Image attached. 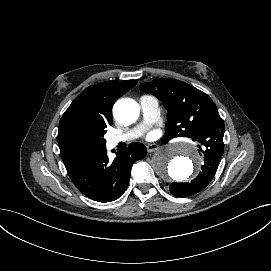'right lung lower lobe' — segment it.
I'll list each match as a JSON object with an SVG mask.
<instances>
[{
    "label": "right lung lower lobe",
    "mask_w": 271,
    "mask_h": 271,
    "mask_svg": "<svg viewBox=\"0 0 271 271\" xmlns=\"http://www.w3.org/2000/svg\"><path fill=\"white\" fill-rule=\"evenodd\" d=\"M108 159L106 147L85 154L65 164L74 185L88 198L98 202L118 199L127 189L132 165L147 154L143 144L132 143L128 149Z\"/></svg>",
    "instance_id": "1"
}]
</instances>
